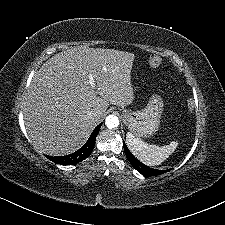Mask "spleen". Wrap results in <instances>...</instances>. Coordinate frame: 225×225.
<instances>
[{
  "mask_svg": "<svg viewBox=\"0 0 225 225\" xmlns=\"http://www.w3.org/2000/svg\"><path fill=\"white\" fill-rule=\"evenodd\" d=\"M126 144L131 153L147 166L160 165L175 151L178 145L175 141L164 146L150 145L136 138L131 132L126 134Z\"/></svg>",
  "mask_w": 225,
  "mask_h": 225,
  "instance_id": "spleen-1",
  "label": "spleen"
}]
</instances>
